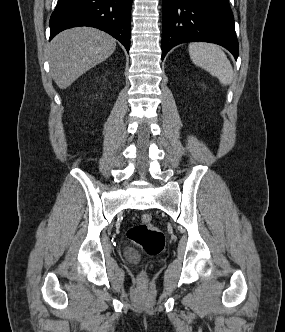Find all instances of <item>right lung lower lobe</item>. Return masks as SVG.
Returning a JSON list of instances; mask_svg holds the SVG:
<instances>
[{
    "label": "right lung lower lobe",
    "instance_id": "98d812e1",
    "mask_svg": "<svg viewBox=\"0 0 285 332\" xmlns=\"http://www.w3.org/2000/svg\"><path fill=\"white\" fill-rule=\"evenodd\" d=\"M132 0H59L50 18V39L78 26L101 29L129 52Z\"/></svg>",
    "mask_w": 285,
    "mask_h": 332
}]
</instances>
